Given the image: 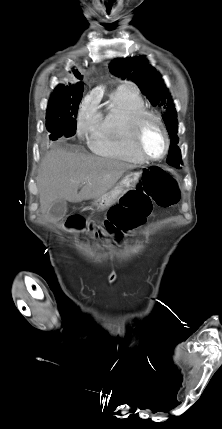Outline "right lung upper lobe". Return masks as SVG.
<instances>
[{
	"instance_id": "obj_1",
	"label": "right lung upper lobe",
	"mask_w": 222,
	"mask_h": 429,
	"mask_svg": "<svg viewBox=\"0 0 222 429\" xmlns=\"http://www.w3.org/2000/svg\"><path fill=\"white\" fill-rule=\"evenodd\" d=\"M72 73H73V75L75 76V78L76 79H79V80H81L82 79V75L79 73V71L78 70H72ZM76 85H83L81 82H78L77 84H75V85H71L70 83H69V85H67V86H65V85H62V84H59L58 86H56V88L54 89V92L53 93H65V92H68V91H71V89L73 88V87H75Z\"/></svg>"
}]
</instances>
